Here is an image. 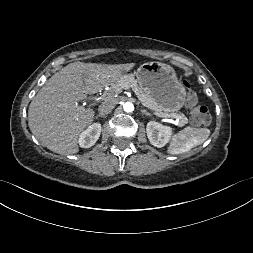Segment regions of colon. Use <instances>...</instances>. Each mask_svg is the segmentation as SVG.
<instances>
[{
    "mask_svg": "<svg viewBox=\"0 0 253 253\" xmlns=\"http://www.w3.org/2000/svg\"><path fill=\"white\" fill-rule=\"evenodd\" d=\"M182 85L186 89L187 101L193 106L191 114V123L193 125H206L211 121V115L208 108L204 105L198 104L197 93L190 87V84L186 81H182Z\"/></svg>",
    "mask_w": 253,
    "mask_h": 253,
    "instance_id": "colon-1",
    "label": "colon"
}]
</instances>
